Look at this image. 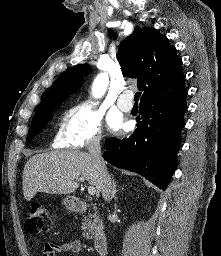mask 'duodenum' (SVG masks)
Returning <instances> with one entry per match:
<instances>
[{"label": "duodenum", "mask_w": 221, "mask_h": 256, "mask_svg": "<svg viewBox=\"0 0 221 256\" xmlns=\"http://www.w3.org/2000/svg\"><path fill=\"white\" fill-rule=\"evenodd\" d=\"M92 207V204L80 199H73L71 201V208L75 212H83ZM93 245L96 252L100 255H105L108 248V240L104 230L100 229L95 232L93 237Z\"/></svg>", "instance_id": "1"}]
</instances>
